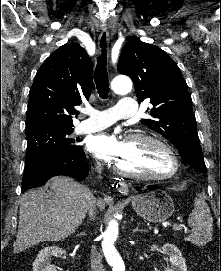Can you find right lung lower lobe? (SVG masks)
I'll list each match as a JSON object with an SVG mask.
<instances>
[{"label":"right lung lower lobe","instance_id":"obj_1","mask_svg":"<svg viewBox=\"0 0 221 271\" xmlns=\"http://www.w3.org/2000/svg\"><path fill=\"white\" fill-rule=\"evenodd\" d=\"M87 173L88 164L80 146L70 154L40 157L26 162L21 191L40 187L55 175H66L82 180L86 178Z\"/></svg>","mask_w":221,"mask_h":271}]
</instances>
